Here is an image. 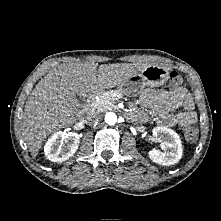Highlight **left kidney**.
I'll return each instance as SVG.
<instances>
[{
    "label": "left kidney",
    "instance_id": "5707ae66",
    "mask_svg": "<svg viewBox=\"0 0 221 221\" xmlns=\"http://www.w3.org/2000/svg\"><path fill=\"white\" fill-rule=\"evenodd\" d=\"M153 136L161 142L160 147L164 151L153 149L148 152L149 158L156 164L169 166L177 163L183 153L179 135L168 127H155Z\"/></svg>",
    "mask_w": 221,
    "mask_h": 221
}]
</instances>
